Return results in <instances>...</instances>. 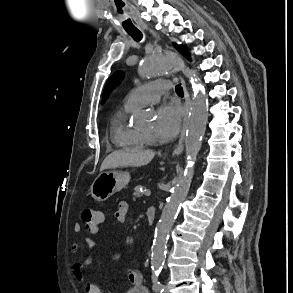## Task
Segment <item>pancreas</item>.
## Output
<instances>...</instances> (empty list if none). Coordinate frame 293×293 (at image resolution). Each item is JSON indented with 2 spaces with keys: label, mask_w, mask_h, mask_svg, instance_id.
<instances>
[{
  "label": "pancreas",
  "mask_w": 293,
  "mask_h": 293,
  "mask_svg": "<svg viewBox=\"0 0 293 293\" xmlns=\"http://www.w3.org/2000/svg\"><path fill=\"white\" fill-rule=\"evenodd\" d=\"M139 189H140V186H136L135 189H134V190H135V192H134V197H135V198H140V197L143 195V194L140 192Z\"/></svg>",
  "instance_id": "pancreas-1"
}]
</instances>
